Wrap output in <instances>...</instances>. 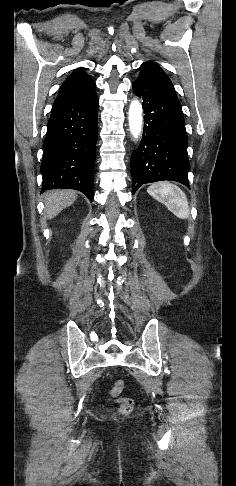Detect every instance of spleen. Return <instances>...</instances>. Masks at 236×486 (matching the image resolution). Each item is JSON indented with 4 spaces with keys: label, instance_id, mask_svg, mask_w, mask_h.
<instances>
[{
    "label": "spleen",
    "instance_id": "obj_1",
    "mask_svg": "<svg viewBox=\"0 0 236 486\" xmlns=\"http://www.w3.org/2000/svg\"><path fill=\"white\" fill-rule=\"evenodd\" d=\"M147 192L157 201L166 205L174 215L187 219L190 215L188 200L185 193L169 182H159L148 187Z\"/></svg>",
    "mask_w": 236,
    "mask_h": 486
}]
</instances>
